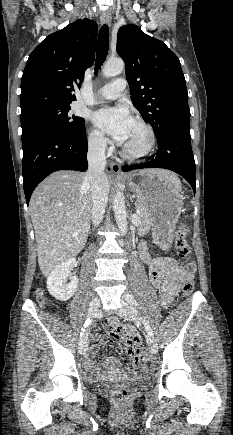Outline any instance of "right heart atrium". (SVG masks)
<instances>
[{
	"mask_svg": "<svg viewBox=\"0 0 233 435\" xmlns=\"http://www.w3.org/2000/svg\"><path fill=\"white\" fill-rule=\"evenodd\" d=\"M87 142L89 149L94 153L101 154L107 149V138L96 129L89 131Z\"/></svg>",
	"mask_w": 233,
	"mask_h": 435,
	"instance_id": "obj_1",
	"label": "right heart atrium"
}]
</instances>
